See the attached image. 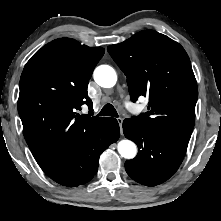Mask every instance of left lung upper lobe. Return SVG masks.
<instances>
[{"label": "left lung upper lobe", "instance_id": "1", "mask_svg": "<svg viewBox=\"0 0 221 221\" xmlns=\"http://www.w3.org/2000/svg\"><path fill=\"white\" fill-rule=\"evenodd\" d=\"M107 50L127 77L131 100L149 97V111L132 118L162 137L188 144L198 88L184 48L145 30Z\"/></svg>", "mask_w": 221, "mask_h": 221}]
</instances>
